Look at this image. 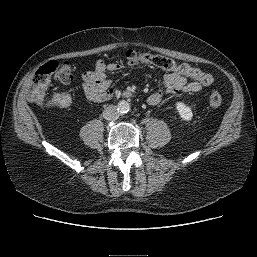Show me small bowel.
I'll use <instances>...</instances> for the list:
<instances>
[{
	"instance_id": "c3829d8e",
	"label": "small bowel",
	"mask_w": 257,
	"mask_h": 257,
	"mask_svg": "<svg viewBox=\"0 0 257 257\" xmlns=\"http://www.w3.org/2000/svg\"><path fill=\"white\" fill-rule=\"evenodd\" d=\"M145 62H137L133 67H139ZM121 69L119 63H106L98 60L93 71L83 74V90L88 100L100 102L109 99L113 90L110 86L108 73L117 72ZM162 90L155 91L148 97L150 105H158L165 95L176 94L179 92L195 93L203 88V85L191 78L183 76L176 72H170L164 75L161 80Z\"/></svg>"
}]
</instances>
